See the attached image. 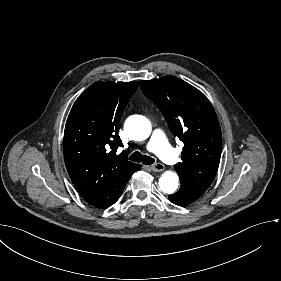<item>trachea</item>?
<instances>
[{"mask_svg": "<svg viewBox=\"0 0 281 281\" xmlns=\"http://www.w3.org/2000/svg\"><path fill=\"white\" fill-rule=\"evenodd\" d=\"M129 159L131 161H134V162H137V163L142 162L145 165H151V164H153L155 162V160L153 158H151L150 156H147V155H143L140 152H134L129 157Z\"/></svg>", "mask_w": 281, "mask_h": 281, "instance_id": "3493384b", "label": "trachea"}]
</instances>
